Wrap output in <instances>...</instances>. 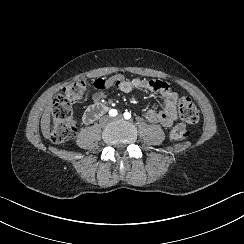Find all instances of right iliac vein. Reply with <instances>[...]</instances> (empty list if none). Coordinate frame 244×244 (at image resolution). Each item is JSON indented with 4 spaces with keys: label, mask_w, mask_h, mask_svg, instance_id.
I'll list each match as a JSON object with an SVG mask.
<instances>
[{
    "label": "right iliac vein",
    "mask_w": 244,
    "mask_h": 244,
    "mask_svg": "<svg viewBox=\"0 0 244 244\" xmlns=\"http://www.w3.org/2000/svg\"><path fill=\"white\" fill-rule=\"evenodd\" d=\"M110 121V119L109 118H107V121H106V123H108Z\"/></svg>",
    "instance_id": "obj_1"
}]
</instances>
